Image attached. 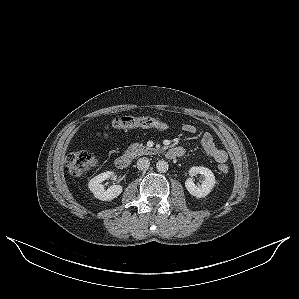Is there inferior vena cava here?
Returning a JSON list of instances; mask_svg holds the SVG:
<instances>
[{"mask_svg":"<svg viewBox=\"0 0 299 299\" xmlns=\"http://www.w3.org/2000/svg\"><path fill=\"white\" fill-rule=\"evenodd\" d=\"M150 166V161L147 157H142L137 161V168L139 170H146Z\"/></svg>","mask_w":299,"mask_h":299,"instance_id":"602c4592","label":"inferior vena cava"}]
</instances>
